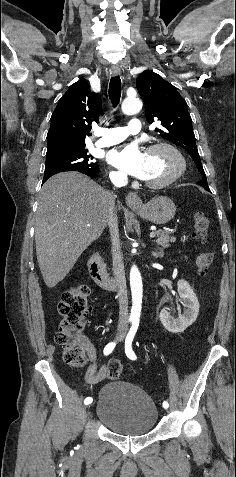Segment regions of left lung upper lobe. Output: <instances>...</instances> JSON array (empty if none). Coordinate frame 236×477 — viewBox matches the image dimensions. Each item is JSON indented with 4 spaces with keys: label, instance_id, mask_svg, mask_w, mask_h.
<instances>
[{
    "label": "left lung upper lobe",
    "instance_id": "left-lung-upper-lobe-1",
    "mask_svg": "<svg viewBox=\"0 0 236 477\" xmlns=\"http://www.w3.org/2000/svg\"><path fill=\"white\" fill-rule=\"evenodd\" d=\"M139 94L145 102L146 120L161 121L162 129L156 128L164 139L184 148L203 178L197 184L209 191L205 172L198 154L192 120L185 99L176 88L152 71H144L136 80Z\"/></svg>",
    "mask_w": 236,
    "mask_h": 477
}]
</instances>
